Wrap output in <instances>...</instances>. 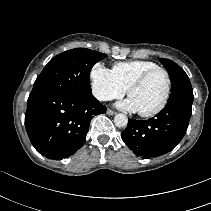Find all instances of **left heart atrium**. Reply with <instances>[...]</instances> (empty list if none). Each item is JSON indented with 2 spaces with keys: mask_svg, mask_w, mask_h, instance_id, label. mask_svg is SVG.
Here are the masks:
<instances>
[{
  "mask_svg": "<svg viewBox=\"0 0 211 211\" xmlns=\"http://www.w3.org/2000/svg\"><path fill=\"white\" fill-rule=\"evenodd\" d=\"M120 107L125 109V110H128V111H132V112H136L137 109L134 105V103L132 102V100L129 98L123 102L120 103Z\"/></svg>",
  "mask_w": 211,
  "mask_h": 211,
  "instance_id": "obj_1",
  "label": "left heart atrium"
}]
</instances>
